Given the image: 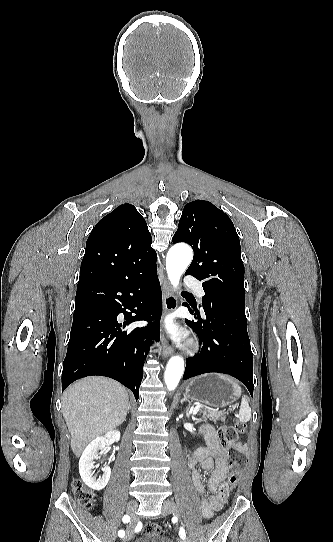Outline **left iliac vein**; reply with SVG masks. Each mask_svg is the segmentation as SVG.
I'll list each match as a JSON object with an SVG mask.
<instances>
[{"mask_svg":"<svg viewBox=\"0 0 333 542\" xmlns=\"http://www.w3.org/2000/svg\"><path fill=\"white\" fill-rule=\"evenodd\" d=\"M164 513H172L173 515L180 516L181 512L173 500H165L163 503ZM179 542H189L188 540H180Z\"/></svg>","mask_w":333,"mask_h":542,"instance_id":"obj_1","label":"left iliac vein"}]
</instances>
